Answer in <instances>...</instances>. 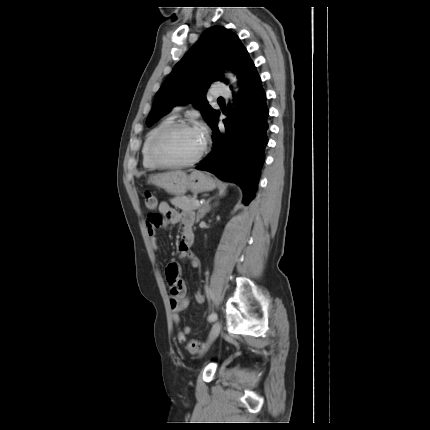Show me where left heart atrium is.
<instances>
[{
  "label": "left heart atrium",
  "instance_id": "1",
  "mask_svg": "<svg viewBox=\"0 0 430 430\" xmlns=\"http://www.w3.org/2000/svg\"><path fill=\"white\" fill-rule=\"evenodd\" d=\"M195 129L197 130V132L199 133L200 137L202 138L203 143H205L206 139H207V134H208L206 126L199 125Z\"/></svg>",
  "mask_w": 430,
  "mask_h": 430
}]
</instances>
